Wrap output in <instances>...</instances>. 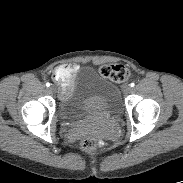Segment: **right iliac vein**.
I'll return each instance as SVG.
<instances>
[{
  "mask_svg": "<svg viewBox=\"0 0 183 183\" xmlns=\"http://www.w3.org/2000/svg\"><path fill=\"white\" fill-rule=\"evenodd\" d=\"M49 91L55 92V87H54V86H50V87H49Z\"/></svg>",
  "mask_w": 183,
  "mask_h": 183,
  "instance_id": "obj_1",
  "label": "right iliac vein"
}]
</instances>
